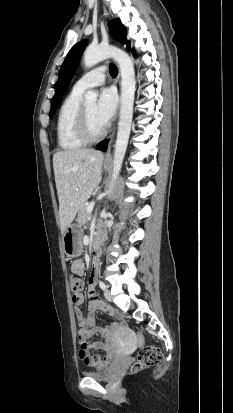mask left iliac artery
Masks as SVG:
<instances>
[{"label":"left iliac artery","mask_w":233,"mask_h":413,"mask_svg":"<svg viewBox=\"0 0 233 413\" xmlns=\"http://www.w3.org/2000/svg\"><path fill=\"white\" fill-rule=\"evenodd\" d=\"M99 286H100V288L103 289V290L106 289V286H105V284H104L102 281H99Z\"/></svg>","instance_id":"44dca946"}]
</instances>
